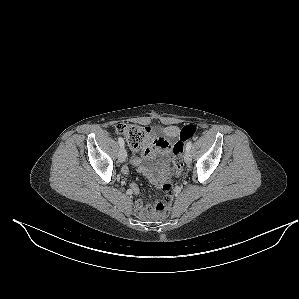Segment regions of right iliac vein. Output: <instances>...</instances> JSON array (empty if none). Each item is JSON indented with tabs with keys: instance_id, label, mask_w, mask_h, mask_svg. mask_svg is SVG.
Wrapping results in <instances>:
<instances>
[{
	"instance_id": "1",
	"label": "right iliac vein",
	"mask_w": 299,
	"mask_h": 299,
	"mask_svg": "<svg viewBox=\"0 0 299 299\" xmlns=\"http://www.w3.org/2000/svg\"><path fill=\"white\" fill-rule=\"evenodd\" d=\"M126 158H127V152L124 149V147H121V149L119 151V161L121 163H123V162H125Z\"/></svg>"
}]
</instances>
